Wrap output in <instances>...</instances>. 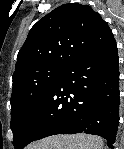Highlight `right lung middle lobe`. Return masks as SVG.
Returning a JSON list of instances; mask_svg holds the SVG:
<instances>
[{"instance_id": "1", "label": "right lung middle lobe", "mask_w": 124, "mask_h": 149, "mask_svg": "<svg viewBox=\"0 0 124 149\" xmlns=\"http://www.w3.org/2000/svg\"><path fill=\"white\" fill-rule=\"evenodd\" d=\"M63 68L43 66L19 77L11 96V129L16 146L47 91Z\"/></svg>"}]
</instances>
